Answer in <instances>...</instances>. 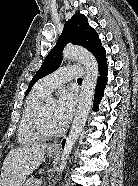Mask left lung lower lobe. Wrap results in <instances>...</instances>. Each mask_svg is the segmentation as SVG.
I'll return each mask as SVG.
<instances>
[{"instance_id": "1", "label": "left lung lower lobe", "mask_w": 138, "mask_h": 186, "mask_svg": "<svg viewBox=\"0 0 138 186\" xmlns=\"http://www.w3.org/2000/svg\"><path fill=\"white\" fill-rule=\"evenodd\" d=\"M107 64H103L99 67L100 70V77L98 79L97 88L94 97V108L93 110L96 111L98 109V103L101 101L103 96V90L107 83ZM65 140L62 142V147H64Z\"/></svg>"}]
</instances>
